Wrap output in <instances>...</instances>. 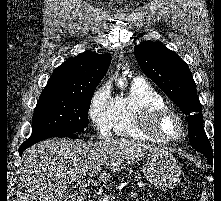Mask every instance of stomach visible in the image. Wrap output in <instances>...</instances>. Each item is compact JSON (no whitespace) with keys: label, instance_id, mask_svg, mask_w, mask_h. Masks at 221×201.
Segmentation results:
<instances>
[{"label":"stomach","instance_id":"obj_1","mask_svg":"<svg viewBox=\"0 0 221 201\" xmlns=\"http://www.w3.org/2000/svg\"><path fill=\"white\" fill-rule=\"evenodd\" d=\"M142 170L147 180L163 191L173 189L180 182L181 168L167 150L147 155Z\"/></svg>","mask_w":221,"mask_h":201}]
</instances>
